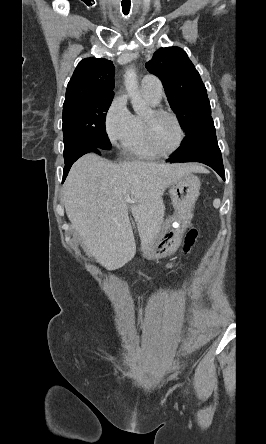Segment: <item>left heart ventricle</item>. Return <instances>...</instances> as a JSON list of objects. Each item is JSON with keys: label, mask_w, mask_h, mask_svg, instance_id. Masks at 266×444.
<instances>
[{"label": "left heart ventricle", "mask_w": 266, "mask_h": 444, "mask_svg": "<svg viewBox=\"0 0 266 444\" xmlns=\"http://www.w3.org/2000/svg\"><path fill=\"white\" fill-rule=\"evenodd\" d=\"M153 137L161 150H172L177 145L179 139V132L175 121L169 116L155 118L153 121Z\"/></svg>", "instance_id": "1"}]
</instances>
